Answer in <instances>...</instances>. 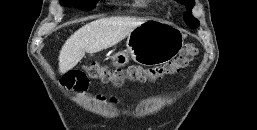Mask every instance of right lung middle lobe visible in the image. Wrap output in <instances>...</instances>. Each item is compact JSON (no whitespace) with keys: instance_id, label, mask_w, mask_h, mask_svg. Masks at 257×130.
Wrapping results in <instances>:
<instances>
[{"instance_id":"right-lung-middle-lobe-1","label":"right lung middle lobe","mask_w":257,"mask_h":130,"mask_svg":"<svg viewBox=\"0 0 257 130\" xmlns=\"http://www.w3.org/2000/svg\"><path fill=\"white\" fill-rule=\"evenodd\" d=\"M61 3L66 6H75L83 9L92 8L96 1L95 0H61Z\"/></svg>"}]
</instances>
